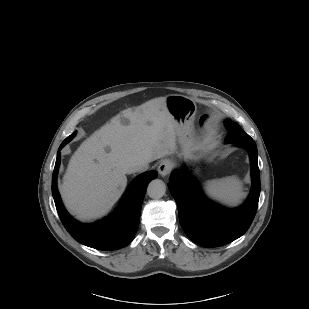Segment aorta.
I'll use <instances>...</instances> for the list:
<instances>
[{"instance_id": "1", "label": "aorta", "mask_w": 309, "mask_h": 309, "mask_svg": "<svg viewBox=\"0 0 309 309\" xmlns=\"http://www.w3.org/2000/svg\"><path fill=\"white\" fill-rule=\"evenodd\" d=\"M166 185L160 179L152 180L147 187V194L150 198L159 199L165 195Z\"/></svg>"}]
</instances>
